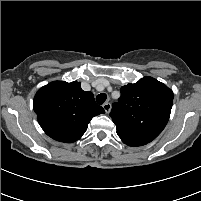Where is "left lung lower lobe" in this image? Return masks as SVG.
<instances>
[{
    "instance_id": "0a47b994",
    "label": "left lung lower lobe",
    "mask_w": 201,
    "mask_h": 201,
    "mask_svg": "<svg viewBox=\"0 0 201 201\" xmlns=\"http://www.w3.org/2000/svg\"><path fill=\"white\" fill-rule=\"evenodd\" d=\"M121 139H122L123 143H125L128 146H142V145L146 144V143H143V142L133 141V140H130V139H125V138H121Z\"/></svg>"
}]
</instances>
